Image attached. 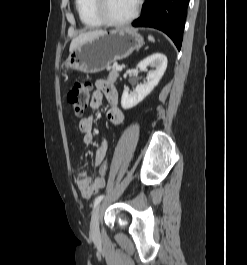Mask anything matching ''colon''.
<instances>
[{
    "label": "colon",
    "mask_w": 247,
    "mask_h": 265,
    "mask_svg": "<svg viewBox=\"0 0 247 265\" xmlns=\"http://www.w3.org/2000/svg\"><path fill=\"white\" fill-rule=\"evenodd\" d=\"M91 86L88 82L78 81L75 82L67 94V101L72 106L76 115H82L86 110L90 100ZM108 170L107 159L104 158L99 165L98 178L105 181Z\"/></svg>",
    "instance_id": "colon-1"
}]
</instances>
